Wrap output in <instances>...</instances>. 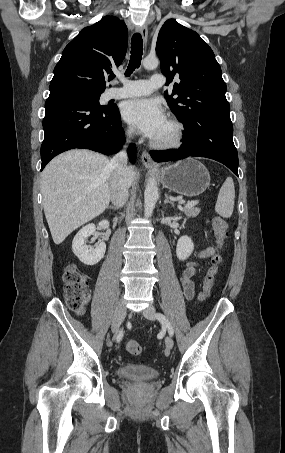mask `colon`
Wrapping results in <instances>:
<instances>
[{"instance_id": "colon-1", "label": "colon", "mask_w": 285, "mask_h": 453, "mask_svg": "<svg viewBox=\"0 0 285 453\" xmlns=\"http://www.w3.org/2000/svg\"><path fill=\"white\" fill-rule=\"evenodd\" d=\"M212 228L217 247L222 249L227 238V223L221 217L215 216L212 220ZM222 263L223 258L219 252L211 257L199 293L201 301L210 296ZM63 282L64 298L68 307L75 312L83 313L89 301V283L86 276L76 266L67 265L63 270ZM125 347L133 355L140 354L142 350L140 344L134 339L127 340Z\"/></svg>"}]
</instances>
